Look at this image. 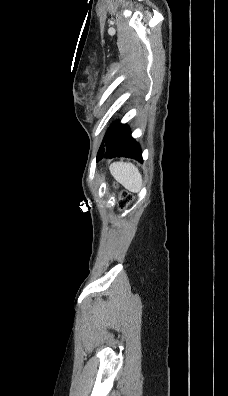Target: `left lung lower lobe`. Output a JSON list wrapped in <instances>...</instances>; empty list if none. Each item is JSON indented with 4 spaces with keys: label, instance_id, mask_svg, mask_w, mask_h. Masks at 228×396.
<instances>
[{
    "label": "left lung lower lobe",
    "instance_id": "0a47b994",
    "mask_svg": "<svg viewBox=\"0 0 228 396\" xmlns=\"http://www.w3.org/2000/svg\"><path fill=\"white\" fill-rule=\"evenodd\" d=\"M120 156L142 161L140 145L132 138L128 126L118 121L108 129L97 154V160Z\"/></svg>",
    "mask_w": 228,
    "mask_h": 396
}]
</instances>
